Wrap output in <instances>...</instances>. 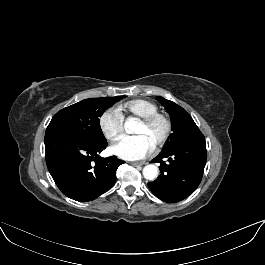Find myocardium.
<instances>
[{
    "label": "myocardium",
    "instance_id": "myocardium-1",
    "mask_svg": "<svg viewBox=\"0 0 265 265\" xmlns=\"http://www.w3.org/2000/svg\"><path fill=\"white\" fill-rule=\"evenodd\" d=\"M157 121H161L163 123L164 130H163V133H162L160 139L154 145L155 149H159V148L163 147L167 143V141L169 140L171 132H172V121H171V119L166 114H163L160 112H155V113L149 114V115L144 116V117L139 119V122L144 124V125H151Z\"/></svg>",
    "mask_w": 265,
    "mask_h": 265
}]
</instances>
